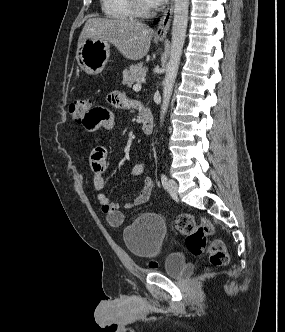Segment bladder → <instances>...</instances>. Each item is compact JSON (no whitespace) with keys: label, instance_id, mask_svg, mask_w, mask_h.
<instances>
[{"label":"bladder","instance_id":"bladder-1","mask_svg":"<svg viewBox=\"0 0 285 332\" xmlns=\"http://www.w3.org/2000/svg\"><path fill=\"white\" fill-rule=\"evenodd\" d=\"M167 234L164 219L155 213L138 216L123 232V241L129 252L138 258L158 254ZM168 276L183 278L191 271V265L183 254H172L165 260Z\"/></svg>","mask_w":285,"mask_h":332}]
</instances>
